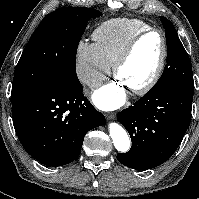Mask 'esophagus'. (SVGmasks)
<instances>
[{
  "label": "esophagus",
  "instance_id": "34e87169",
  "mask_svg": "<svg viewBox=\"0 0 199 199\" xmlns=\"http://www.w3.org/2000/svg\"><path fill=\"white\" fill-rule=\"evenodd\" d=\"M106 117L108 118V119H114L115 117H116V114L115 113H108V114H106Z\"/></svg>",
  "mask_w": 199,
  "mask_h": 199
}]
</instances>
